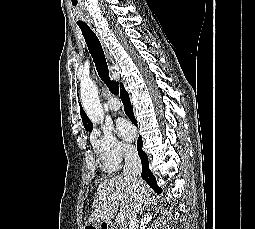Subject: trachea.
<instances>
[{"label": "trachea", "instance_id": "1", "mask_svg": "<svg viewBox=\"0 0 255 229\" xmlns=\"http://www.w3.org/2000/svg\"><path fill=\"white\" fill-rule=\"evenodd\" d=\"M78 26L80 27L82 31L88 50L93 58V61L95 63V66L100 78L107 85L111 93L117 95L119 93V86L116 82L112 81L109 77V71H108V66L105 59L104 51L98 37L86 23L80 22L78 23Z\"/></svg>", "mask_w": 255, "mask_h": 229}]
</instances>
